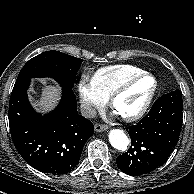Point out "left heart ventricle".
<instances>
[{"label":"left heart ventricle","instance_id":"b2bd125f","mask_svg":"<svg viewBox=\"0 0 194 194\" xmlns=\"http://www.w3.org/2000/svg\"><path fill=\"white\" fill-rule=\"evenodd\" d=\"M153 86L154 81L150 77L136 82L115 101V112L119 115H131L137 112L149 96Z\"/></svg>","mask_w":194,"mask_h":194}]
</instances>
